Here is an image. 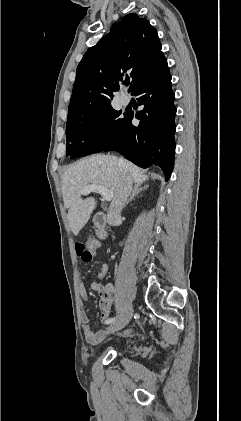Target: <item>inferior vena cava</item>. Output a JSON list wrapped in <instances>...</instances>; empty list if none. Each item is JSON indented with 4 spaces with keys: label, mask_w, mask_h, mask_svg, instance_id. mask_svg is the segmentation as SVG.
Here are the masks:
<instances>
[{
    "label": "inferior vena cava",
    "mask_w": 241,
    "mask_h": 421,
    "mask_svg": "<svg viewBox=\"0 0 241 421\" xmlns=\"http://www.w3.org/2000/svg\"><path fill=\"white\" fill-rule=\"evenodd\" d=\"M119 163L124 167L123 160H120ZM131 191L132 180L126 173H123L120 189L117 195L113 198L108 210L107 218L109 224L113 225L117 220L120 219L122 208L124 207V204L127 201Z\"/></svg>",
    "instance_id": "1"
}]
</instances>
